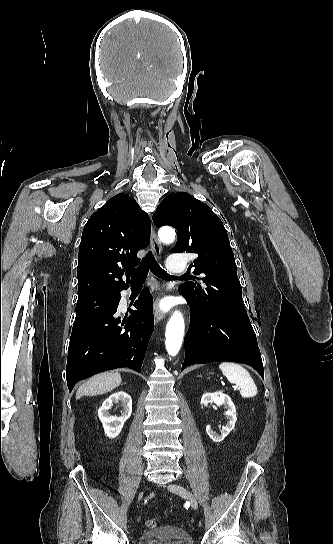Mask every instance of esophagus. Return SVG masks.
<instances>
[{
    "instance_id": "1",
    "label": "esophagus",
    "mask_w": 333,
    "mask_h": 544,
    "mask_svg": "<svg viewBox=\"0 0 333 544\" xmlns=\"http://www.w3.org/2000/svg\"><path fill=\"white\" fill-rule=\"evenodd\" d=\"M150 247L151 250L156 258H160L162 247L161 244L157 238L155 229L152 225L151 228V235H150ZM164 318V315L159 307V296L156 297L155 304H154V321L155 323H159Z\"/></svg>"
}]
</instances>
